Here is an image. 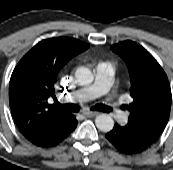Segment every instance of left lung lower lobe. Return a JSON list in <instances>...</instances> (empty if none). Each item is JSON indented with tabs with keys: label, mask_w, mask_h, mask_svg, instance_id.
Segmentation results:
<instances>
[{
	"label": "left lung lower lobe",
	"mask_w": 173,
	"mask_h": 170,
	"mask_svg": "<svg viewBox=\"0 0 173 170\" xmlns=\"http://www.w3.org/2000/svg\"><path fill=\"white\" fill-rule=\"evenodd\" d=\"M108 141L121 153L132 155L147 150L153 142L132 126L114 125V128L106 134Z\"/></svg>",
	"instance_id": "obj_1"
}]
</instances>
